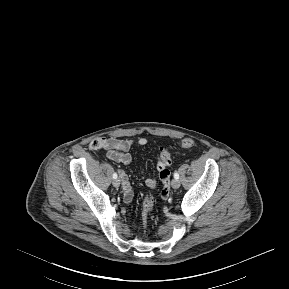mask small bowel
Here are the masks:
<instances>
[{
	"instance_id": "small-bowel-1",
	"label": "small bowel",
	"mask_w": 289,
	"mask_h": 289,
	"mask_svg": "<svg viewBox=\"0 0 289 289\" xmlns=\"http://www.w3.org/2000/svg\"><path fill=\"white\" fill-rule=\"evenodd\" d=\"M133 140L119 139V138H105L98 137L92 140L89 144L91 150L104 149L107 152V156L112 161L129 165L132 162V157L129 154V150L133 145ZM148 140L144 137L137 140L139 146H145ZM157 169L159 171L158 180L163 182L162 192L160 194L161 199H168L171 191V171L166 165L159 163V154H157ZM120 177L122 180L123 199L125 203H130L133 200L134 194L128 179V175L120 170ZM158 184L155 178H149L146 180V186L148 188H154Z\"/></svg>"
}]
</instances>
